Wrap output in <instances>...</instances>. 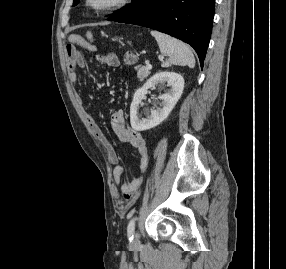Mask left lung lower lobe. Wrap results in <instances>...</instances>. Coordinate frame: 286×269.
<instances>
[{
  "instance_id": "0a47b994",
  "label": "left lung lower lobe",
  "mask_w": 286,
  "mask_h": 269,
  "mask_svg": "<svg viewBox=\"0 0 286 269\" xmlns=\"http://www.w3.org/2000/svg\"><path fill=\"white\" fill-rule=\"evenodd\" d=\"M214 7L215 0H148L142 9L117 22L155 29L188 43L203 66Z\"/></svg>"
}]
</instances>
